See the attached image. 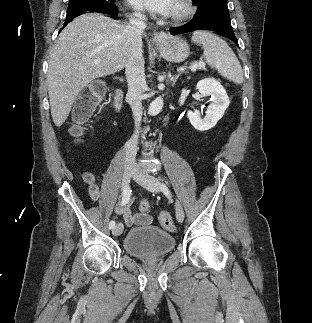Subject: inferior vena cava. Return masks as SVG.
I'll return each mask as SVG.
<instances>
[{
  "mask_svg": "<svg viewBox=\"0 0 312 323\" xmlns=\"http://www.w3.org/2000/svg\"><path fill=\"white\" fill-rule=\"evenodd\" d=\"M146 16L141 12H134L125 24V32L130 40V52L126 62V76L128 82V98L135 120V132L130 140L126 142L125 148L128 154L137 152L139 138L138 126H140L142 116L141 96L146 90V80L144 74V58L142 54V34H144Z\"/></svg>",
  "mask_w": 312,
  "mask_h": 323,
  "instance_id": "602c4592",
  "label": "inferior vena cava"
}]
</instances>
